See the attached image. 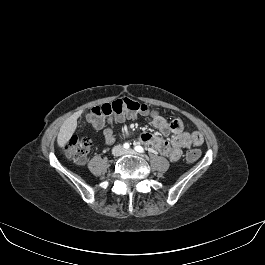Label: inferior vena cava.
<instances>
[{"mask_svg":"<svg viewBox=\"0 0 265 265\" xmlns=\"http://www.w3.org/2000/svg\"><path fill=\"white\" fill-rule=\"evenodd\" d=\"M115 148H120V146H117V147H115ZM113 152H114V150H113ZM114 155H116V153L114 152Z\"/></svg>","mask_w":265,"mask_h":265,"instance_id":"obj_1","label":"inferior vena cava"}]
</instances>
